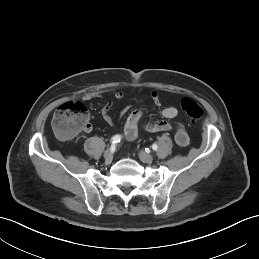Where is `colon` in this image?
<instances>
[{"label":"colon","mask_w":259,"mask_h":259,"mask_svg":"<svg viewBox=\"0 0 259 259\" xmlns=\"http://www.w3.org/2000/svg\"><path fill=\"white\" fill-rule=\"evenodd\" d=\"M181 110L192 123L198 122L203 115L202 108L191 98H184L181 101ZM89 122L90 114L87 106L79 101H68L56 111L52 126L60 137L70 138L84 130Z\"/></svg>","instance_id":"1"}]
</instances>
